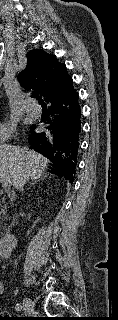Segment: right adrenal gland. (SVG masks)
Returning <instances> with one entry per match:
<instances>
[{
    "instance_id": "right-adrenal-gland-1",
    "label": "right adrenal gland",
    "mask_w": 118,
    "mask_h": 320,
    "mask_svg": "<svg viewBox=\"0 0 118 320\" xmlns=\"http://www.w3.org/2000/svg\"><path fill=\"white\" fill-rule=\"evenodd\" d=\"M46 177V174L42 175L41 177H39L38 179L34 180L30 186H33L34 184H36L38 181L43 180Z\"/></svg>"
}]
</instances>
